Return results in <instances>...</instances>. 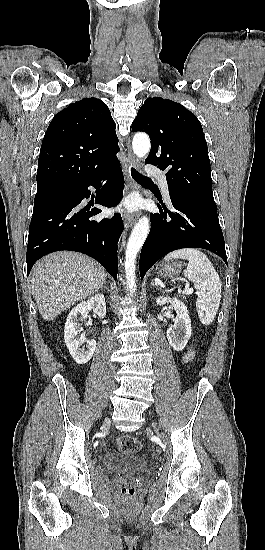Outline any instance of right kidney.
Wrapping results in <instances>:
<instances>
[{"instance_id": "1", "label": "right kidney", "mask_w": 265, "mask_h": 550, "mask_svg": "<svg viewBox=\"0 0 265 550\" xmlns=\"http://www.w3.org/2000/svg\"><path fill=\"white\" fill-rule=\"evenodd\" d=\"M89 311L99 317L106 315V302L103 294H97L87 301L81 302L74 307L67 316L64 329V340L66 346L77 364H86L93 356L96 349V341L85 338V332L81 322L88 317ZM86 343V348L81 347Z\"/></svg>"}]
</instances>
